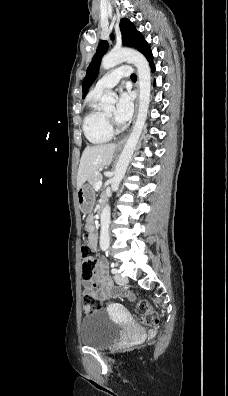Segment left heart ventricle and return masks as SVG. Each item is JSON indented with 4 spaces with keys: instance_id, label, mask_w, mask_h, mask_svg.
<instances>
[{
    "instance_id": "obj_1",
    "label": "left heart ventricle",
    "mask_w": 228,
    "mask_h": 396,
    "mask_svg": "<svg viewBox=\"0 0 228 396\" xmlns=\"http://www.w3.org/2000/svg\"><path fill=\"white\" fill-rule=\"evenodd\" d=\"M114 112H115L114 108H111V109H109L108 111H106L105 114H106L107 116H109L110 118H112L113 115H114Z\"/></svg>"
}]
</instances>
